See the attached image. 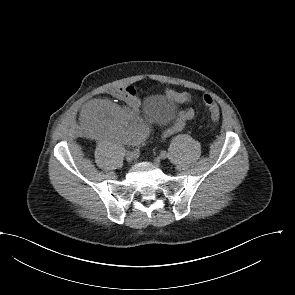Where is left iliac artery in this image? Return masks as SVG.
<instances>
[{"label": "left iliac artery", "mask_w": 295, "mask_h": 295, "mask_svg": "<svg viewBox=\"0 0 295 295\" xmlns=\"http://www.w3.org/2000/svg\"><path fill=\"white\" fill-rule=\"evenodd\" d=\"M160 156L163 157L164 159L167 157L166 151H161Z\"/></svg>", "instance_id": "44dca946"}]
</instances>
